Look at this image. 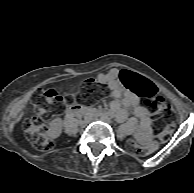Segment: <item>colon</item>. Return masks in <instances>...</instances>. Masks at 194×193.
Segmentation results:
<instances>
[{"instance_id":"1","label":"colon","mask_w":194,"mask_h":193,"mask_svg":"<svg viewBox=\"0 0 194 193\" xmlns=\"http://www.w3.org/2000/svg\"><path fill=\"white\" fill-rule=\"evenodd\" d=\"M120 79L127 88L137 93L138 98L150 108L152 114L158 116L154 122V129L158 132V138L163 140L170 135L174 130V124L169 118L172 111L170 103L157 93L148 80L137 74L123 71L120 74ZM81 88L82 98L88 102H94L100 94V83L95 79L86 80ZM63 103L64 99L57 91L47 90L40 96L38 114L25 120V135L36 149L48 151L54 147V141L47 133L43 117L50 112L61 110ZM127 146L132 153L141 156L149 154L156 147L155 144L143 147L134 141H129Z\"/></svg>"}]
</instances>
